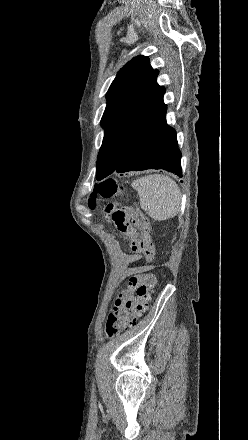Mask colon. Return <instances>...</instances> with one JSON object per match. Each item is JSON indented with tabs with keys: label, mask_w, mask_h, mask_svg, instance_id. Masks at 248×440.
I'll return each instance as SVG.
<instances>
[{
	"label": "colon",
	"mask_w": 248,
	"mask_h": 440,
	"mask_svg": "<svg viewBox=\"0 0 248 440\" xmlns=\"http://www.w3.org/2000/svg\"><path fill=\"white\" fill-rule=\"evenodd\" d=\"M123 188L119 187L114 179L102 181L95 189L89 201L91 208L95 207L96 197L109 199L118 194ZM106 212L110 219L122 233H127L131 228L130 211L127 209H117L113 204L106 207ZM134 222L142 230L138 240L137 249L144 255L146 266L142 274L132 276L129 280L131 295L125 298L127 313L122 315L118 310L111 312L106 320L105 332L108 337L119 335L122 331L131 328L137 320L148 309L151 301V293L156 285V276L153 273V260L155 247L151 238L150 223L147 216L138 208L133 210Z\"/></svg>",
	"instance_id": "obj_1"
}]
</instances>
